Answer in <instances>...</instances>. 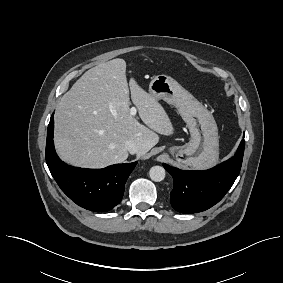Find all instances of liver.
<instances>
[{"label":"liver","instance_id":"1","mask_svg":"<svg viewBox=\"0 0 283 283\" xmlns=\"http://www.w3.org/2000/svg\"><path fill=\"white\" fill-rule=\"evenodd\" d=\"M131 99L143 121L130 114L126 62L117 58L86 71L61 98L55 114V147L62 160L74 166L104 168L124 162L127 141L145 155L172 135L173 125L158 101L131 78Z\"/></svg>","mask_w":283,"mask_h":283}]
</instances>
